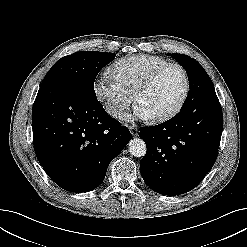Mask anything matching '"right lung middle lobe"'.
<instances>
[{
	"instance_id": "dd1d6c3e",
	"label": "right lung middle lobe",
	"mask_w": 247,
	"mask_h": 247,
	"mask_svg": "<svg viewBox=\"0 0 247 247\" xmlns=\"http://www.w3.org/2000/svg\"><path fill=\"white\" fill-rule=\"evenodd\" d=\"M115 53L81 51L59 59L48 71L41 86L57 81H77L94 93V81L99 71L115 58Z\"/></svg>"
}]
</instances>
